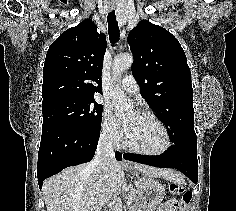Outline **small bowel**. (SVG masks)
I'll list each match as a JSON object with an SVG mask.
<instances>
[{
  "instance_id": "small-bowel-1",
  "label": "small bowel",
  "mask_w": 236,
  "mask_h": 211,
  "mask_svg": "<svg viewBox=\"0 0 236 211\" xmlns=\"http://www.w3.org/2000/svg\"><path fill=\"white\" fill-rule=\"evenodd\" d=\"M158 211H164V209L161 208V209H159ZM179 211H188L187 206H186V205H183V206L180 208Z\"/></svg>"
}]
</instances>
